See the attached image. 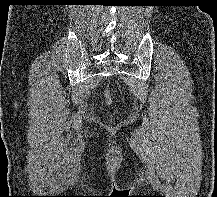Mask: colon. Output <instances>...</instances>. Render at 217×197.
Masks as SVG:
<instances>
[{"label": "colon", "instance_id": "obj_1", "mask_svg": "<svg viewBox=\"0 0 217 197\" xmlns=\"http://www.w3.org/2000/svg\"><path fill=\"white\" fill-rule=\"evenodd\" d=\"M104 100L108 105H111L113 103V98L109 90L105 91Z\"/></svg>", "mask_w": 217, "mask_h": 197}]
</instances>
